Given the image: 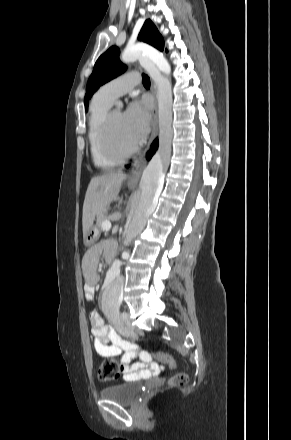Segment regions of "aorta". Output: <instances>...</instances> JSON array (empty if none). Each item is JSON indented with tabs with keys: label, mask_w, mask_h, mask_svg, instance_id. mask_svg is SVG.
I'll return each mask as SVG.
<instances>
[{
	"label": "aorta",
	"mask_w": 291,
	"mask_h": 440,
	"mask_svg": "<svg viewBox=\"0 0 291 440\" xmlns=\"http://www.w3.org/2000/svg\"><path fill=\"white\" fill-rule=\"evenodd\" d=\"M144 58H148L163 74H170V64L163 54L146 44L129 46L121 54V61L126 64ZM157 97L159 101H161L162 97L159 92L157 93ZM122 107L123 103L117 101L116 108L120 110ZM164 170L165 160L162 152L159 150L152 157L142 173L138 197L130 218L125 226V245L131 244L133 239L142 232L148 217L155 210L158 197L163 188L165 176ZM123 284V277L117 269H114L105 283L103 300L113 305L120 304L123 297Z\"/></svg>",
	"instance_id": "obj_1"
}]
</instances>
